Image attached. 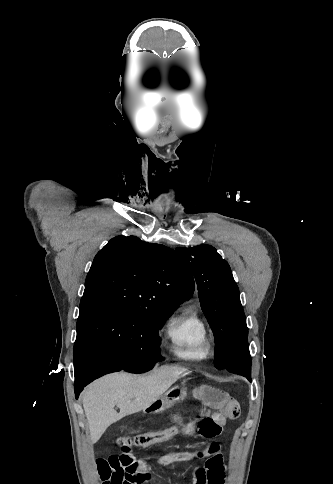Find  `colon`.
Listing matches in <instances>:
<instances>
[{
    "instance_id": "1",
    "label": "colon",
    "mask_w": 333,
    "mask_h": 484,
    "mask_svg": "<svg viewBox=\"0 0 333 484\" xmlns=\"http://www.w3.org/2000/svg\"><path fill=\"white\" fill-rule=\"evenodd\" d=\"M191 420H186L183 423L170 425L162 430L156 432L139 433L134 436H124L117 440L119 446H148L158 442L169 441L178 436L183 435L185 428L190 424ZM103 480L102 484H108L104 473H100Z\"/></svg>"
}]
</instances>
